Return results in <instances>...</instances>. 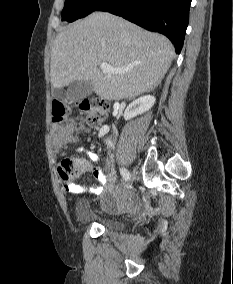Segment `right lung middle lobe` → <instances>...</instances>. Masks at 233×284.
I'll use <instances>...</instances> for the list:
<instances>
[{"label":"right lung middle lobe","instance_id":"right-lung-middle-lobe-1","mask_svg":"<svg viewBox=\"0 0 233 284\" xmlns=\"http://www.w3.org/2000/svg\"><path fill=\"white\" fill-rule=\"evenodd\" d=\"M107 0H65L62 20L73 22L94 12Z\"/></svg>","mask_w":233,"mask_h":284}]
</instances>
